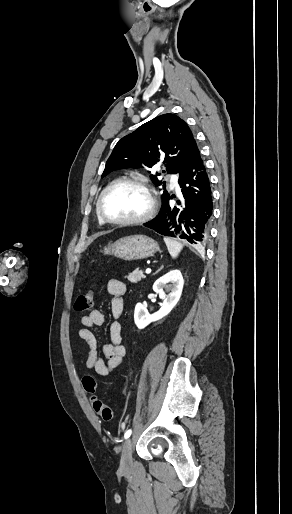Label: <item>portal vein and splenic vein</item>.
Masks as SVG:
<instances>
[{
    "label": "portal vein and splenic vein",
    "instance_id": "1",
    "mask_svg": "<svg viewBox=\"0 0 292 514\" xmlns=\"http://www.w3.org/2000/svg\"><path fill=\"white\" fill-rule=\"evenodd\" d=\"M151 270L150 268H148V270H146V274H150Z\"/></svg>",
    "mask_w": 292,
    "mask_h": 514
}]
</instances>
